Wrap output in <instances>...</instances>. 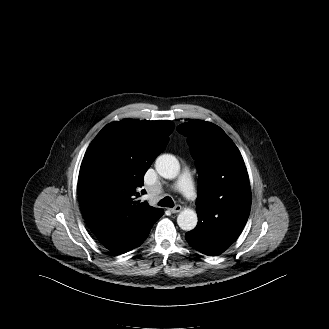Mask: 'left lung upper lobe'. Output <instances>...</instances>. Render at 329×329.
Returning <instances> with one entry per match:
<instances>
[{
  "mask_svg": "<svg viewBox=\"0 0 329 329\" xmlns=\"http://www.w3.org/2000/svg\"><path fill=\"white\" fill-rule=\"evenodd\" d=\"M187 136L199 174L195 230L216 235L229 224L247 222L251 195L248 173L240 151L217 125L190 121L177 127Z\"/></svg>",
  "mask_w": 329,
  "mask_h": 329,
  "instance_id": "left-lung-upper-lobe-1",
  "label": "left lung upper lobe"
}]
</instances>
